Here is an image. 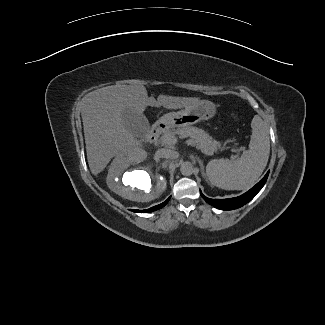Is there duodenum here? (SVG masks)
<instances>
[{"mask_svg":"<svg viewBox=\"0 0 325 325\" xmlns=\"http://www.w3.org/2000/svg\"><path fill=\"white\" fill-rule=\"evenodd\" d=\"M163 130H164V125L160 123L154 125L148 134L147 137L148 142L152 143L156 141L159 138V136L162 134Z\"/></svg>","mask_w":325,"mask_h":325,"instance_id":"410a0bca","label":"duodenum"}]
</instances>
